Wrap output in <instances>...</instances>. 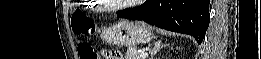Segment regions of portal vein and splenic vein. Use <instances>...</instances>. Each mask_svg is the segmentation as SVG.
I'll return each mask as SVG.
<instances>
[{
	"instance_id": "portal-vein-and-splenic-vein-1",
	"label": "portal vein and splenic vein",
	"mask_w": 261,
	"mask_h": 59,
	"mask_svg": "<svg viewBox=\"0 0 261 59\" xmlns=\"http://www.w3.org/2000/svg\"><path fill=\"white\" fill-rule=\"evenodd\" d=\"M139 56L144 59L148 56V52H141V53H139Z\"/></svg>"
}]
</instances>
